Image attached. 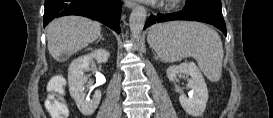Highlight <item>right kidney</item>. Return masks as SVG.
I'll return each mask as SVG.
<instances>
[{
	"label": "right kidney",
	"mask_w": 273,
	"mask_h": 118,
	"mask_svg": "<svg viewBox=\"0 0 273 118\" xmlns=\"http://www.w3.org/2000/svg\"><path fill=\"white\" fill-rule=\"evenodd\" d=\"M109 57L110 53L100 48L73 60L68 68L70 95L74 98L79 110L85 115H91L97 109L102 94L100 90H96L92 98L86 97L85 85L88 77L84 75V72L89 71L93 59L98 63H106Z\"/></svg>",
	"instance_id": "1"
}]
</instances>
